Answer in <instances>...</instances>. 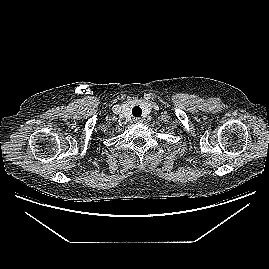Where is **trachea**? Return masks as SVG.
Returning a JSON list of instances; mask_svg holds the SVG:
<instances>
[{
	"label": "trachea",
	"mask_w": 269,
	"mask_h": 269,
	"mask_svg": "<svg viewBox=\"0 0 269 269\" xmlns=\"http://www.w3.org/2000/svg\"><path fill=\"white\" fill-rule=\"evenodd\" d=\"M132 114L135 117H140L142 115V109L139 106H134L132 109Z\"/></svg>",
	"instance_id": "obj_1"
}]
</instances>
